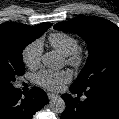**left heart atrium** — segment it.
<instances>
[{
  "instance_id": "1",
  "label": "left heart atrium",
  "mask_w": 119,
  "mask_h": 119,
  "mask_svg": "<svg viewBox=\"0 0 119 119\" xmlns=\"http://www.w3.org/2000/svg\"><path fill=\"white\" fill-rule=\"evenodd\" d=\"M71 80V73L69 71H53L43 69L34 75L36 84L48 90H60L63 85Z\"/></svg>"
}]
</instances>
